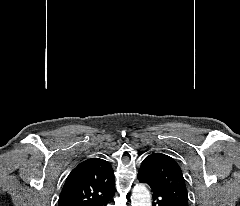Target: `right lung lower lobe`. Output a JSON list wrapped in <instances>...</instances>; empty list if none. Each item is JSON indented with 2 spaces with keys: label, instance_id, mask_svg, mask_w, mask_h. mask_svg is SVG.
I'll return each mask as SVG.
<instances>
[{
  "label": "right lung lower lobe",
  "instance_id": "98d812e1",
  "mask_svg": "<svg viewBox=\"0 0 240 206\" xmlns=\"http://www.w3.org/2000/svg\"><path fill=\"white\" fill-rule=\"evenodd\" d=\"M113 197V194L102 199L100 202H98L97 204H95L94 206H106L107 202Z\"/></svg>",
  "mask_w": 240,
  "mask_h": 206
}]
</instances>
